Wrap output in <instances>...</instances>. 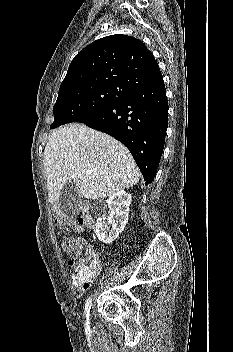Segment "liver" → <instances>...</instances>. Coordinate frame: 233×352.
<instances>
[{"label":"liver","mask_w":233,"mask_h":352,"mask_svg":"<svg viewBox=\"0 0 233 352\" xmlns=\"http://www.w3.org/2000/svg\"><path fill=\"white\" fill-rule=\"evenodd\" d=\"M48 198L55 204L66 182L79 197L99 199L138 183L140 172L128 151L110 135L73 123L54 131L44 149ZM91 173L87 174L86 171Z\"/></svg>","instance_id":"6515ba94"}]
</instances>
